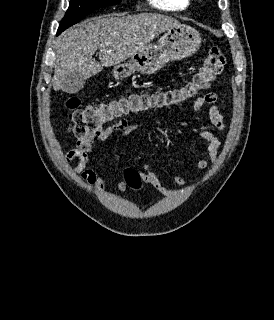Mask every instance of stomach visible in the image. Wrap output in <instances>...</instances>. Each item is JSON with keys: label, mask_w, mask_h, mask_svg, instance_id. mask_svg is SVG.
I'll list each match as a JSON object with an SVG mask.
<instances>
[{"label": "stomach", "mask_w": 274, "mask_h": 320, "mask_svg": "<svg viewBox=\"0 0 274 320\" xmlns=\"http://www.w3.org/2000/svg\"><path fill=\"white\" fill-rule=\"evenodd\" d=\"M201 42L200 34L195 28L179 24L175 28H169L166 34L160 38L158 44H151L149 48H144L138 54H134L127 66L130 72L155 74L167 62L184 60V58L193 56L199 50ZM119 66H115L113 70L117 80H119V76L126 74V72H118Z\"/></svg>", "instance_id": "1"}]
</instances>
